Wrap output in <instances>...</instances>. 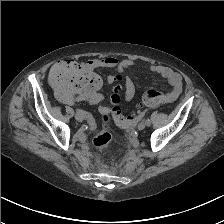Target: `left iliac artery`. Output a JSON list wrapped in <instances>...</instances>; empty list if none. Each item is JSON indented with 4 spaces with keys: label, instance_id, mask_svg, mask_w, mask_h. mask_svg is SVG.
Segmentation results:
<instances>
[{
    "label": "left iliac artery",
    "instance_id": "44dca946",
    "mask_svg": "<svg viewBox=\"0 0 224 224\" xmlns=\"http://www.w3.org/2000/svg\"><path fill=\"white\" fill-rule=\"evenodd\" d=\"M145 124H146V126H150L151 125V121L149 119H146L145 120Z\"/></svg>",
    "mask_w": 224,
    "mask_h": 224
}]
</instances>
